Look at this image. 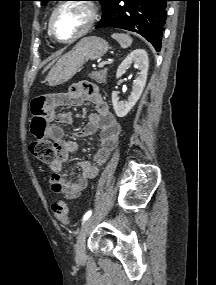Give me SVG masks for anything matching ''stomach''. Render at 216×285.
Segmentation results:
<instances>
[{"label": "stomach", "instance_id": "stomach-1", "mask_svg": "<svg viewBox=\"0 0 216 285\" xmlns=\"http://www.w3.org/2000/svg\"><path fill=\"white\" fill-rule=\"evenodd\" d=\"M109 49L107 41L97 36L81 39L71 51L58 59L47 75L50 86H58L69 81L89 60L102 57Z\"/></svg>", "mask_w": 216, "mask_h": 285}]
</instances>
